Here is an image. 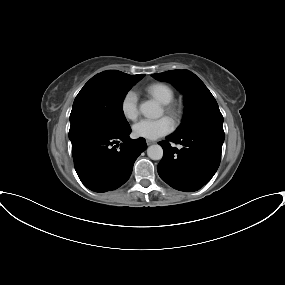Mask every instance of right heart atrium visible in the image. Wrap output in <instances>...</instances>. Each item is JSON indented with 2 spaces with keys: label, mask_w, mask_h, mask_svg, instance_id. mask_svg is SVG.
I'll return each instance as SVG.
<instances>
[{
  "label": "right heart atrium",
  "mask_w": 285,
  "mask_h": 285,
  "mask_svg": "<svg viewBox=\"0 0 285 285\" xmlns=\"http://www.w3.org/2000/svg\"><path fill=\"white\" fill-rule=\"evenodd\" d=\"M121 112L126 119L131 121L138 117V96L134 91L129 90L123 96L121 100Z\"/></svg>",
  "instance_id": "right-heart-atrium-1"
}]
</instances>
